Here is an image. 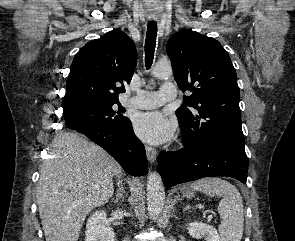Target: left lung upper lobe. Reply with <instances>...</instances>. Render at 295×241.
Returning a JSON list of instances; mask_svg holds the SVG:
<instances>
[{"instance_id":"obj_1","label":"left lung upper lobe","mask_w":295,"mask_h":241,"mask_svg":"<svg viewBox=\"0 0 295 241\" xmlns=\"http://www.w3.org/2000/svg\"><path fill=\"white\" fill-rule=\"evenodd\" d=\"M167 53L179 88L192 93L176 111L184 143L216 142L245 150L240 91L227 51L214 38L181 30L168 40Z\"/></svg>"}]
</instances>
